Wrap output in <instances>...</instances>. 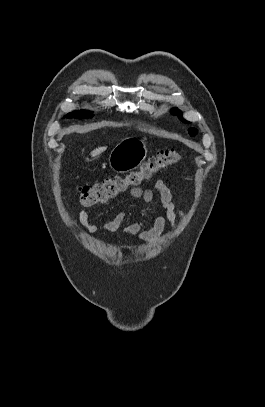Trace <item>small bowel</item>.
<instances>
[{"instance_id": "small-bowel-1", "label": "small bowel", "mask_w": 265, "mask_h": 407, "mask_svg": "<svg viewBox=\"0 0 265 407\" xmlns=\"http://www.w3.org/2000/svg\"><path fill=\"white\" fill-rule=\"evenodd\" d=\"M155 190L160 196V204L163 214L158 216L153 225L145 229L142 221L129 224L123 229V232L129 236H136L143 242H151L161 236L167 227L174 229L178 219H184L182 211L177 210L170 189L163 180H158L155 184ZM131 197L141 198L145 203H151L154 199V192L151 189L143 190L140 187H132L129 191ZM126 219V213L120 212L112 220L101 224H93L89 220L87 211L80 210L73 219V224L77 229L85 227L90 233L98 234L101 232H115L120 229Z\"/></svg>"}]
</instances>
